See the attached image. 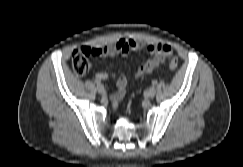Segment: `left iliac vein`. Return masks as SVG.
<instances>
[{
	"label": "left iliac vein",
	"instance_id": "obj_1",
	"mask_svg": "<svg viewBox=\"0 0 243 167\" xmlns=\"http://www.w3.org/2000/svg\"><path fill=\"white\" fill-rule=\"evenodd\" d=\"M147 96L149 98H153L156 94V89L154 87H150L147 92H146Z\"/></svg>",
	"mask_w": 243,
	"mask_h": 167
}]
</instances>
